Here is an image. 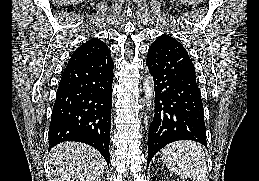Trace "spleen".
Returning <instances> with one entry per match:
<instances>
[{"label":"spleen","mask_w":259,"mask_h":181,"mask_svg":"<svg viewBox=\"0 0 259 181\" xmlns=\"http://www.w3.org/2000/svg\"><path fill=\"white\" fill-rule=\"evenodd\" d=\"M161 157L176 176L192 181H209L205 152L197 142L183 140L170 143L161 150Z\"/></svg>","instance_id":"obj_1"}]
</instances>
